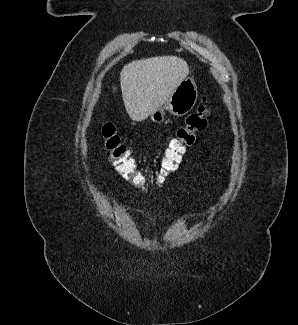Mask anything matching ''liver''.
Segmentation results:
<instances>
[{"instance_id": "liver-1", "label": "liver", "mask_w": 298, "mask_h": 325, "mask_svg": "<svg viewBox=\"0 0 298 325\" xmlns=\"http://www.w3.org/2000/svg\"><path fill=\"white\" fill-rule=\"evenodd\" d=\"M189 72L187 60L176 54L150 56L125 64L120 72V88L127 114L137 122L148 118L167 102Z\"/></svg>"}]
</instances>
